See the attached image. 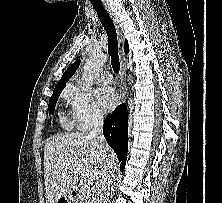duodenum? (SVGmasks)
<instances>
[{"instance_id":"duodenum-1","label":"duodenum","mask_w":222,"mask_h":203,"mask_svg":"<svg viewBox=\"0 0 222 203\" xmlns=\"http://www.w3.org/2000/svg\"><path fill=\"white\" fill-rule=\"evenodd\" d=\"M81 198V192L80 190L74 188L72 189L69 194L67 199L63 200V203H68V201L70 202H76Z\"/></svg>"}]
</instances>
